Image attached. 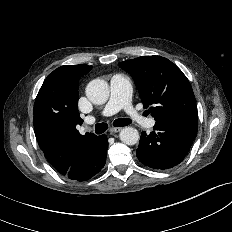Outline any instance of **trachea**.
I'll list each match as a JSON object with an SVG mask.
<instances>
[{"label": "trachea", "instance_id": "1", "mask_svg": "<svg viewBox=\"0 0 232 232\" xmlns=\"http://www.w3.org/2000/svg\"><path fill=\"white\" fill-rule=\"evenodd\" d=\"M131 123V120L130 119H127V118H119V119H116L114 122H113V125L115 127H123V126H126V125H129ZM108 129V125L106 123H98L95 125V133L96 134H102L103 132H105L106 130Z\"/></svg>", "mask_w": 232, "mask_h": 232}]
</instances>
